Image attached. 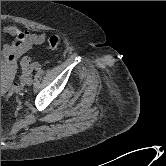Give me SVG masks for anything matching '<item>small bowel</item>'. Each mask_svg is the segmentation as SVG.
Wrapping results in <instances>:
<instances>
[{
	"label": "small bowel",
	"mask_w": 166,
	"mask_h": 166,
	"mask_svg": "<svg viewBox=\"0 0 166 166\" xmlns=\"http://www.w3.org/2000/svg\"><path fill=\"white\" fill-rule=\"evenodd\" d=\"M2 32L14 38L13 42L7 44L1 52V57L11 71L16 69V61L24 53L32 49L34 46L42 44L46 39V34L44 32L31 33L14 25L3 26Z\"/></svg>",
	"instance_id": "1"
}]
</instances>
